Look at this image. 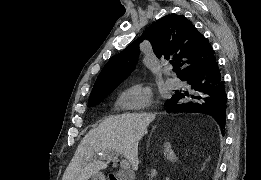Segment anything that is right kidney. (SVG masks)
I'll return each mask as SVG.
<instances>
[{"label":"right kidney","mask_w":261,"mask_h":180,"mask_svg":"<svg viewBox=\"0 0 261 180\" xmlns=\"http://www.w3.org/2000/svg\"><path fill=\"white\" fill-rule=\"evenodd\" d=\"M164 156H165V158H167V160H170V162H175V160H176V156H175L173 150H171V146H170L169 142H166V144H165Z\"/></svg>","instance_id":"obj_1"}]
</instances>
